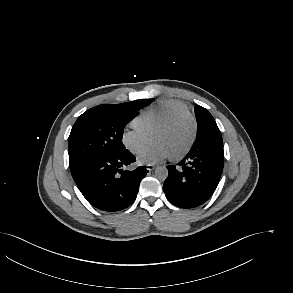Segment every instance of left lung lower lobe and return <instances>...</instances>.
<instances>
[{"mask_svg":"<svg viewBox=\"0 0 293 293\" xmlns=\"http://www.w3.org/2000/svg\"><path fill=\"white\" fill-rule=\"evenodd\" d=\"M178 165L167 166L165 195L175 206L197 207L212 196L219 183L224 166L223 144L215 141L196 143Z\"/></svg>","mask_w":293,"mask_h":293,"instance_id":"1","label":"left lung lower lobe"}]
</instances>
